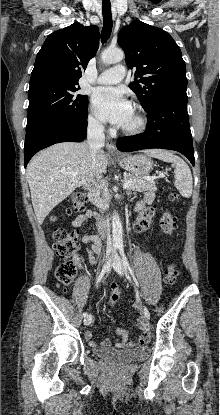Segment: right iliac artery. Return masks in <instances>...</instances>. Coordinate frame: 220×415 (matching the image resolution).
I'll use <instances>...</instances> for the list:
<instances>
[{
  "mask_svg": "<svg viewBox=\"0 0 220 415\" xmlns=\"http://www.w3.org/2000/svg\"><path fill=\"white\" fill-rule=\"evenodd\" d=\"M118 248V246H114V252L116 251V249ZM112 257L113 256H111L110 258H109V260L107 261V263H106V265L104 266V268L102 269V271H101V273L99 274V276H98V278H97V281H96V285H98L99 283H100V281L102 280V278H103V276H104V274H105V272H106V270L107 269H109V267H110V265H111V262H112ZM83 316L84 317H87L88 316V313L87 312H84L83 313Z\"/></svg>",
  "mask_w": 220,
  "mask_h": 415,
  "instance_id": "1",
  "label": "right iliac artery"
}]
</instances>
